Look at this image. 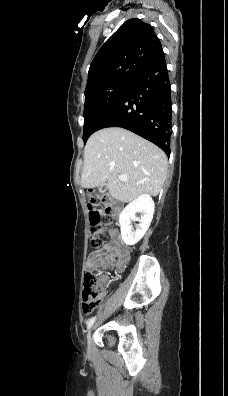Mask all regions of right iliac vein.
Segmentation results:
<instances>
[{
    "mask_svg": "<svg viewBox=\"0 0 228 396\" xmlns=\"http://www.w3.org/2000/svg\"><path fill=\"white\" fill-rule=\"evenodd\" d=\"M91 332H92V330H90L88 335H87V343H88V345H90V342H91Z\"/></svg>",
    "mask_w": 228,
    "mask_h": 396,
    "instance_id": "63e3f726",
    "label": "right iliac vein"
}]
</instances>
